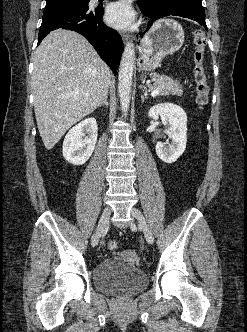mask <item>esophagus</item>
I'll return each mask as SVG.
<instances>
[{
  "label": "esophagus",
  "instance_id": "1",
  "mask_svg": "<svg viewBox=\"0 0 247 332\" xmlns=\"http://www.w3.org/2000/svg\"><path fill=\"white\" fill-rule=\"evenodd\" d=\"M122 39L126 43V42H128L130 40V35L126 34V33H123L122 34Z\"/></svg>",
  "mask_w": 247,
  "mask_h": 332
}]
</instances>
